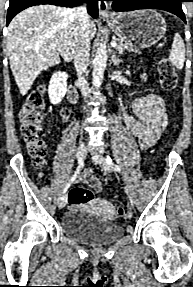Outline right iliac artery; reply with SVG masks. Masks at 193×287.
Wrapping results in <instances>:
<instances>
[{"instance_id":"82829eb1","label":"right iliac artery","mask_w":193,"mask_h":287,"mask_svg":"<svg viewBox=\"0 0 193 287\" xmlns=\"http://www.w3.org/2000/svg\"><path fill=\"white\" fill-rule=\"evenodd\" d=\"M78 167L75 171V173L72 175V177L70 178L69 182L66 184L64 190H63V193L65 194L67 189L69 188V186L75 181V179L77 178L81 168L83 167V159H79L78 160Z\"/></svg>"}]
</instances>
